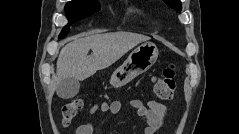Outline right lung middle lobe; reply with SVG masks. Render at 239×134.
Returning <instances> with one entry per match:
<instances>
[{"mask_svg":"<svg viewBox=\"0 0 239 134\" xmlns=\"http://www.w3.org/2000/svg\"><path fill=\"white\" fill-rule=\"evenodd\" d=\"M98 10H100V5L96 0H73L68 2L65 6V12L67 17L71 20L69 21L68 25L62 29L59 38L66 36L72 21L81 20L82 18L87 17Z\"/></svg>","mask_w":239,"mask_h":134,"instance_id":"obj_1","label":"right lung middle lobe"}]
</instances>
